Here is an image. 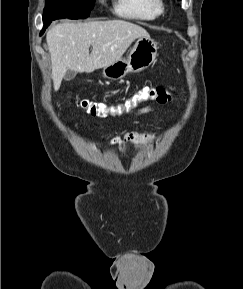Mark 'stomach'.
<instances>
[{
    "instance_id": "stomach-1",
    "label": "stomach",
    "mask_w": 243,
    "mask_h": 289,
    "mask_svg": "<svg viewBox=\"0 0 243 289\" xmlns=\"http://www.w3.org/2000/svg\"><path fill=\"white\" fill-rule=\"evenodd\" d=\"M157 57V44L150 36L139 37L126 58H120L103 68L105 78L118 80L128 73H138L148 68Z\"/></svg>"
}]
</instances>
